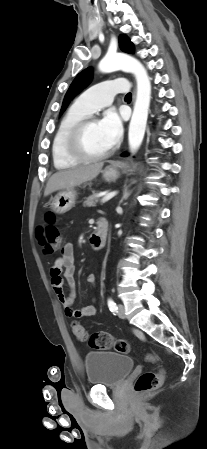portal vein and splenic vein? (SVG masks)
Returning a JSON list of instances; mask_svg holds the SVG:
<instances>
[{"label": "portal vein and splenic vein", "instance_id": "portal-vein-and-splenic-vein-1", "mask_svg": "<svg viewBox=\"0 0 207 449\" xmlns=\"http://www.w3.org/2000/svg\"><path fill=\"white\" fill-rule=\"evenodd\" d=\"M116 194H117V192H111V193L105 195V196L102 198V202L105 203V202L109 201V200L112 199L114 196H116Z\"/></svg>", "mask_w": 207, "mask_h": 449}]
</instances>
